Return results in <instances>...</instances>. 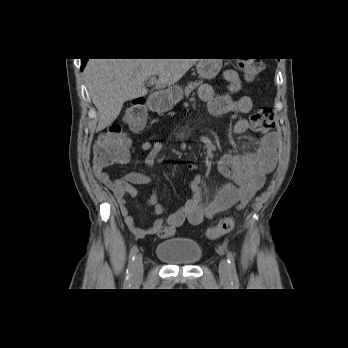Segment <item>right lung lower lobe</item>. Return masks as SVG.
<instances>
[{"label":"right lung lower lobe","instance_id":"1","mask_svg":"<svg viewBox=\"0 0 348 348\" xmlns=\"http://www.w3.org/2000/svg\"><path fill=\"white\" fill-rule=\"evenodd\" d=\"M88 59H81V69L84 68L86 62H87Z\"/></svg>","mask_w":348,"mask_h":348}]
</instances>
